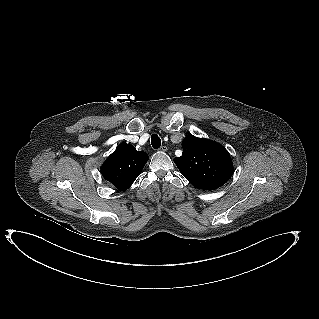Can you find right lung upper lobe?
<instances>
[{
    "label": "right lung upper lobe",
    "mask_w": 319,
    "mask_h": 319,
    "mask_svg": "<svg viewBox=\"0 0 319 319\" xmlns=\"http://www.w3.org/2000/svg\"><path fill=\"white\" fill-rule=\"evenodd\" d=\"M148 155L126 143L118 145L101 167L103 177L120 190L128 189L140 174Z\"/></svg>",
    "instance_id": "cb5924a9"
}]
</instances>
